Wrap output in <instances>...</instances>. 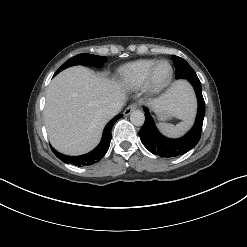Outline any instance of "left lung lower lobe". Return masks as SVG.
<instances>
[{
    "mask_svg": "<svg viewBox=\"0 0 247 247\" xmlns=\"http://www.w3.org/2000/svg\"><path fill=\"white\" fill-rule=\"evenodd\" d=\"M195 89L198 100V111L195 124L192 129L182 138L170 139L164 137L157 130L148 108H144L145 122L139 131V137L145 147L155 155L161 157H173L184 154L192 149L200 140L205 115V102L202 95L201 83L198 77L187 79Z\"/></svg>",
    "mask_w": 247,
    "mask_h": 247,
    "instance_id": "0a47b994",
    "label": "left lung lower lobe"
}]
</instances>
